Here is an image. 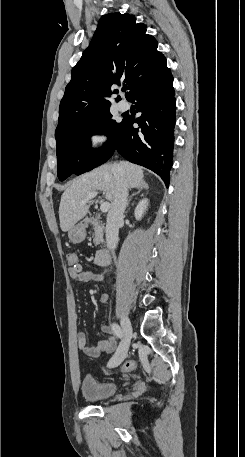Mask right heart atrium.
I'll list each match as a JSON object with an SVG mask.
<instances>
[{"label": "right heart atrium", "instance_id": "right-heart-atrium-1", "mask_svg": "<svg viewBox=\"0 0 245 457\" xmlns=\"http://www.w3.org/2000/svg\"><path fill=\"white\" fill-rule=\"evenodd\" d=\"M104 140H105V137L101 134L96 133L91 136V142L94 145L101 144L102 142H104Z\"/></svg>", "mask_w": 245, "mask_h": 457}]
</instances>
